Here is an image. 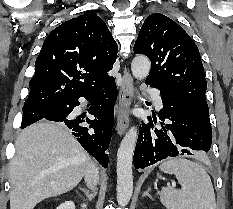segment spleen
Listing matches in <instances>:
<instances>
[{"mask_svg":"<svg viewBox=\"0 0 233 209\" xmlns=\"http://www.w3.org/2000/svg\"><path fill=\"white\" fill-rule=\"evenodd\" d=\"M159 169L174 174L181 190L167 186L160 201L167 209H216L215 193L210 176L198 163L183 158H170Z\"/></svg>","mask_w":233,"mask_h":209,"instance_id":"obj_1","label":"spleen"}]
</instances>
